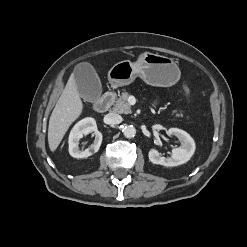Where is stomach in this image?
Returning a JSON list of instances; mask_svg holds the SVG:
<instances>
[{
    "label": "stomach",
    "instance_id": "1",
    "mask_svg": "<svg viewBox=\"0 0 247 247\" xmlns=\"http://www.w3.org/2000/svg\"><path fill=\"white\" fill-rule=\"evenodd\" d=\"M136 77L152 86L168 87L179 80L180 70L171 58L145 52L136 62H118L108 72V80L113 87L129 85Z\"/></svg>",
    "mask_w": 247,
    "mask_h": 247
}]
</instances>
